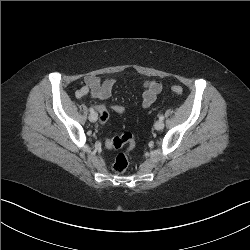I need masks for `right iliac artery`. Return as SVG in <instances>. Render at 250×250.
<instances>
[{
    "mask_svg": "<svg viewBox=\"0 0 250 250\" xmlns=\"http://www.w3.org/2000/svg\"><path fill=\"white\" fill-rule=\"evenodd\" d=\"M89 111L92 113V112H94V109H93V108H90Z\"/></svg>",
    "mask_w": 250,
    "mask_h": 250,
    "instance_id": "obj_1",
    "label": "right iliac artery"
}]
</instances>
